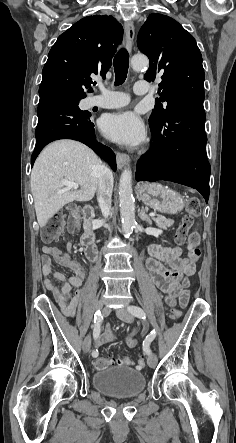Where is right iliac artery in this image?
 Masks as SVG:
<instances>
[{"label":"right iliac artery","mask_w":236,"mask_h":443,"mask_svg":"<svg viewBox=\"0 0 236 443\" xmlns=\"http://www.w3.org/2000/svg\"><path fill=\"white\" fill-rule=\"evenodd\" d=\"M103 320V316L100 311H97L94 315V325H93V337L94 339L97 338L100 334V324ZM93 357L98 356V350H94L92 352Z\"/></svg>","instance_id":"obj_1"}]
</instances>
